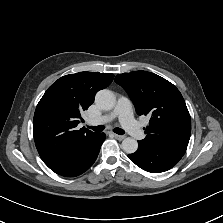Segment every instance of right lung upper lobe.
Returning a JSON list of instances; mask_svg holds the SVG:
<instances>
[{
  "label": "right lung upper lobe",
  "instance_id": "1",
  "mask_svg": "<svg viewBox=\"0 0 223 223\" xmlns=\"http://www.w3.org/2000/svg\"><path fill=\"white\" fill-rule=\"evenodd\" d=\"M110 73L79 72L59 78L39 101L33 119L34 140L44 163L55 173L77 164L98 133L77 130L81 112L109 86Z\"/></svg>",
  "mask_w": 223,
  "mask_h": 223
}]
</instances>
